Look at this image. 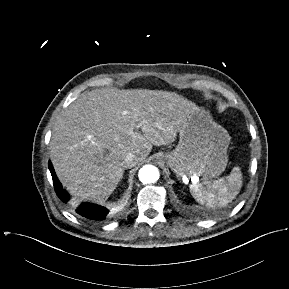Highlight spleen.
I'll use <instances>...</instances> for the list:
<instances>
[{"instance_id": "3e777b00", "label": "spleen", "mask_w": 289, "mask_h": 289, "mask_svg": "<svg viewBox=\"0 0 289 289\" xmlns=\"http://www.w3.org/2000/svg\"><path fill=\"white\" fill-rule=\"evenodd\" d=\"M242 187V173L239 167H234L230 175L219 180H204L190 186L192 196L202 205L208 207H224L231 202Z\"/></svg>"}]
</instances>
